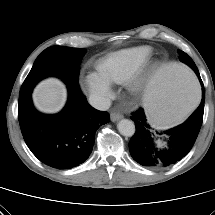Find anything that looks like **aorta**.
<instances>
[{
	"instance_id": "1",
	"label": "aorta",
	"mask_w": 215,
	"mask_h": 215,
	"mask_svg": "<svg viewBox=\"0 0 215 215\" xmlns=\"http://www.w3.org/2000/svg\"><path fill=\"white\" fill-rule=\"evenodd\" d=\"M118 131L121 135L131 137L135 133V125L131 120L122 119L117 124Z\"/></svg>"
}]
</instances>
